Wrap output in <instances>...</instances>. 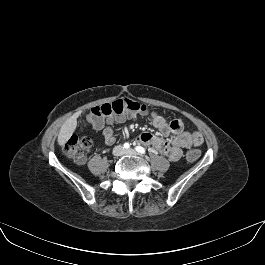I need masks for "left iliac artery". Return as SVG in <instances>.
<instances>
[{
  "instance_id": "left-iliac-artery-1",
  "label": "left iliac artery",
  "mask_w": 265,
  "mask_h": 265,
  "mask_svg": "<svg viewBox=\"0 0 265 265\" xmlns=\"http://www.w3.org/2000/svg\"><path fill=\"white\" fill-rule=\"evenodd\" d=\"M135 150L138 152V153H140V154H145L146 152H145V149L143 148V147H141V146H136L135 147Z\"/></svg>"
}]
</instances>
